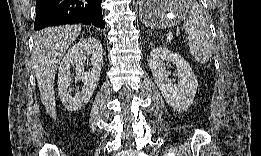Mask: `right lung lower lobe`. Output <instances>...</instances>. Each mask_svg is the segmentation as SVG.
I'll return each instance as SVG.
<instances>
[{"label": "right lung lower lobe", "instance_id": "obj_1", "mask_svg": "<svg viewBox=\"0 0 261 156\" xmlns=\"http://www.w3.org/2000/svg\"><path fill=\"white\" fill-rule=\"evenodd\" d=\"M102 0H37L34 29L82 23L104 28Z\"/></svg>", "mask_w": 261, "mask_h": 156}]
</instances>
